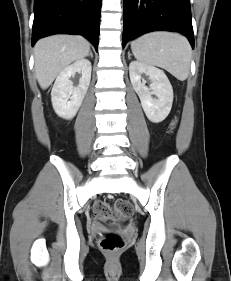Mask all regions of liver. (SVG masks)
<instances>
[{"instance_id": "liver-1", "label": "liver", "mask_w": 231, "mask_h": 281, "mask_svg": "<svg viewBox=\"0 0 231 281\" xmlns=\"http://www.w3.org/2000/svg\"><path fill=\"white\" fill-rule=\"evenodd\" d=\"M90 43L78 35H54L40 39L34 47L35 74L47 89L69 64L89 55Z\"/></svg>"}]
</instances>
